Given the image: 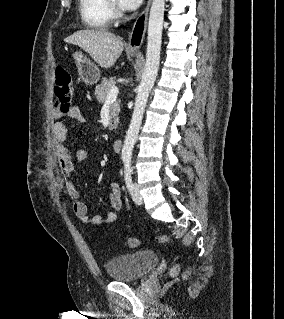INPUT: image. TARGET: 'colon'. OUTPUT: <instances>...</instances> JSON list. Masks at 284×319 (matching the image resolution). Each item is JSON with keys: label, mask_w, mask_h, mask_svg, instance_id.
<instances>
[{"label": "colon", "mask_w": 284, "mask_h": 319, "mask_svg": "<svg viewBox=\"0 0 284 319\" xmlns=\"http://www.w3.org/2000/svg\"><path fill=\"white\" fill-rule=\"evenodd\" d=\"M54 92L56 107L62 113L69 112L73 103L74 88L69 72L63 67H58L55 71ZM159 242L167 244L171 242V238L167 235H161L159 237ZM126 246L129 249H135L139 246V240L137 238L130 237L126 241ZM177 271L178 266H174L171 269V274L175 275Z\"/></svg>", "instance_id": "1"}]
</instances>
